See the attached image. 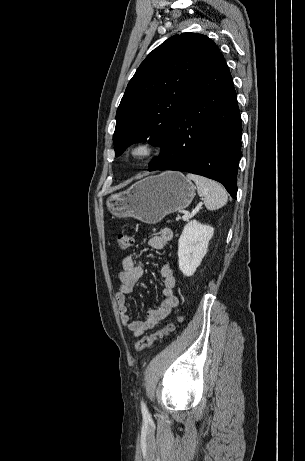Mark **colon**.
Returning a JSON list of instances; mask_svg holds the SVG:
<instances>
[{"mask_svg":"<svg viewBox=\"0 0 305 461\" xmlns=\"http://www.w3.org/2000/svg\"><path fill=\"white\" fill-rule=\"evenodd\" d=\"M115 241H116V244H117V246H118V248L120 250H126L132 244L131 236L129 234L125 233V232H117L115 234ZM180 321H181V317L178 316V317L175 318V320L173 322L167 324L166 326H164L160 330H158V331H156V332H154V333H152L150 335L144 336L141 339L137 340L136 343H135V349L137 351H142L145 348L150 347L156 340L161 339V338L167 336L169 333H171L175 328V324L180 322Z\"/></svg>","mask_w":305,"mask_h":461,"instance_id":"5ec220e1","label":"colon"}]
</instances>
